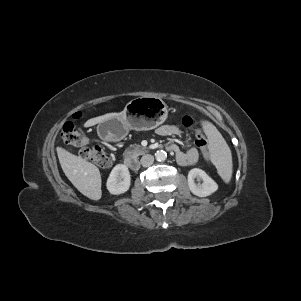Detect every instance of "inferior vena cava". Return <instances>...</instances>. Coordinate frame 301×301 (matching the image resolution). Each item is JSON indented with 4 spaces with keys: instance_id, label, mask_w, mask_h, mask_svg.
<instances>
[{
    "instance_id": "602c4592",
    "label": "inferior vena cava",
    "mask_w": 301,
    "mask_h": 301,
    "mask_svg": "<svg viewBox=\"0 0 301 301\" xmlns=\"http://www.w3.org/2000/svg\"><path fill=\"white\" fill-rule=\"evenodd\" d=\"M154 157L150 154H146L141 158V164L143 167H149L153 164Z\"/></svg>"
}]
</instances>
